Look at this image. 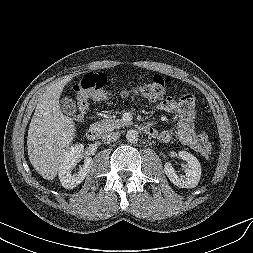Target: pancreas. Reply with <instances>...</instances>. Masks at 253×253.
<instances>
[{
  "label": "pancreas",
  "instance_id": "1",
  "mask_svg": "<svg viewBox=\"0 0 253 253\" xmlns=\"http://www.w3.org/2000/svg\"><path fill=\"white\" fill-rule=\"evenodd\" d=\"M96 125L99 127L101 134H105L114 129H118L124 126L129 125V123L123 121L122 119H106L100 122H97Z\"/></svg>",
  "mask_w": 253,
  "mask_h": 253
}]
</instances>
